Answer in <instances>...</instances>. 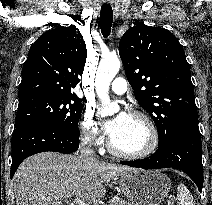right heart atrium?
<instances>
[{
	"label": "right heart atrium",
	"mask_w": 212,
	"mask_h": 205,
	"mask_svg": "<svg viewBox=\"0 0 212 205\" xmlns=\"http://www.w3.org/2000/svg\"><path fill=\"white\" fill-rule=\"evenodd\" d=\"M81 140L89 146H99L103 138L99 134L95 115L91 110H86L80 121Z\"/></svg>",
	"instance_id": "d8ad5b80"
}]
</instances>
